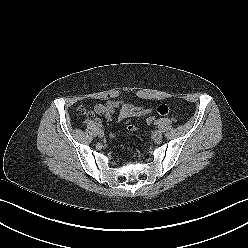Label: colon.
Wrapping results in <instances>:
<instances>
[{"mask_svg": "<svg viewBox=\"0 0 248 248\" xmlns=\"http://www.w3.org/2000/svg\"><path fill=\"white\" fill-rule=\"evenodd\" d=\"M79 112L82 114V115H86L87 117L90 116V113L88 111H86L85 109H80ZM155 121V117L154 116H148L146 118V123L148 125H152Z\"/></svg>", "mask_w": 248, "mask_h": 248, "instance_id": "colon-1", "label": "colon"}]
</instances>
